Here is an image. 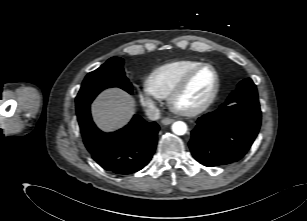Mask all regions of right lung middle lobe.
Wrapping results in <instances>:
<instances>
[{
    "label": "right lung middle lobe",
    "instance_id": "dd1d6c3e",
    "mask_svg": "<svg viewBox=\"0 0 307 221\" xmlns=\"http://www.w3.org/2000/svg\"><path fill=\"white\" fill-rule=\"evenodd\" d=\"M108 87H119L132 94V85L125 76L123 60L119 57L110 58L85 77L76 97L77 113L89 107L94 98Z\"/></svg>",
    "mask_w": 307,
    "mask_h": 221
}]
</instances>
